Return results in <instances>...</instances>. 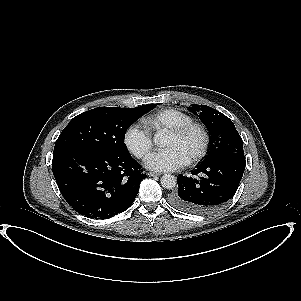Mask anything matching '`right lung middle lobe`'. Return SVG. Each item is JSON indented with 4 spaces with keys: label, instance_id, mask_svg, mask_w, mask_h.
<instances>
[{
    "label": "right lung middle lobe",
    "instance_id": "right-lung-middle-lobe-1",
    "mask_svg": "<svg viewBox=\"0 0 301 301\" xmlns=\"http://www.w3.org/2000/svg\"><path fill=\"white\" fill-rule=\"evenodd\" d=\"M156 104L136 108L99 107L74 117L58 137L53 154L76 148H93L128 153L124 137L127 128Z\"/></svg>",
    "mask_w": 301,
    "mask_h": 301
}]
</instances>
